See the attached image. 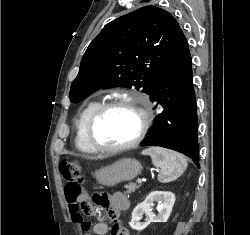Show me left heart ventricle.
<instances>
[{"mask_svg": "<svg viewBox=\"0 0 250 235\" xmlns=\"http://www.w3.org/2000/svg\"><path fill=\"white\" fill-rule=\"evenodd\" d=\"M140 126L138 113L128 107H115L105 113L95 127V138L102 145L114 146L130 142Z\"/></svg>", "mask_w": 250, "mask_h": 235, "instance_id": "obj_1", "label": "left heart ventricle"}]
</instances>
